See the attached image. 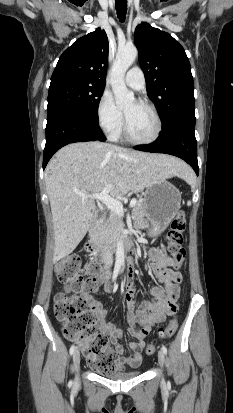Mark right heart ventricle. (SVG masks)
I'll return each mask as SVG.
<instances>
[{"instance_id": "right-heart-ventricle-1", "label": "right heart ventricle", "mask_w": 233, "mask_h": 413, "mask_svg": "<svg viewBox=\"0 0 233 413\" xmlns=\"http://www.w3.org/2000/svg\"><path fill=\"white\" fill-rule=\"evenodd\" d=\"M121 134V133H120ZM120 134L117 136V137H115V138H118L119 136H120Z\"/></svg>"}]
</instances>
